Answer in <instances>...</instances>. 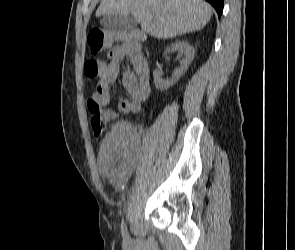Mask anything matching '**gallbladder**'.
<instances>
[{"label":"gallbladder","instance_id":"1","mask_svg":"<svg viewBox=\"0 0 295 250\" xmlns=\"http://www.w3.org/2000/svg\"><path fill=\"white\" fill-rule=\"evenodd\" d=\"M138 21L131 14L106 15L101 20V25L110 30H126L135 28Z\"/></svg>","mask_w":295,"mask_h":250}]
</instances>
